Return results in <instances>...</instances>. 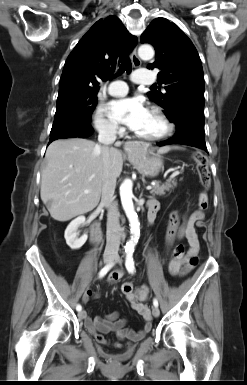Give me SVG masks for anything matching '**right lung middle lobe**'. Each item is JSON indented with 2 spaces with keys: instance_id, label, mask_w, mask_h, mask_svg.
<instances>
[{
  "instance_id": "1",
  "label": "right lung middle lobe",
  "mask_w": 247,
  "mask_h": 385,
  "mask_svg": "<svg viewBox=\"0 0 247 385\" xmlns=\"http://www.w3.org/2000/svg\"><path fill=\"white\" fill-rule=\"evenodd\" d=\"M96 104L95 92L68 91L59 93L52 129L73 121L90 122Z\"/></svg>"
}]
</instances>
